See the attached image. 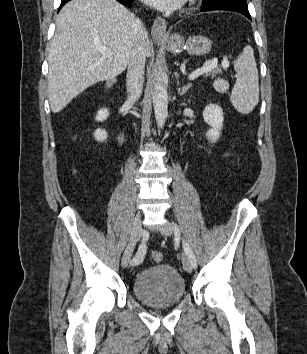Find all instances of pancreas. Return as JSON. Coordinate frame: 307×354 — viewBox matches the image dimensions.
<instances>
[{
    "instance_id": "cf45deb5",
    "label": "pancreas",
    "mask_w": 307,
    "mask_h": 354,
    "mask_svg": "<svg viewBox=\"0 0 307 354\" xmlns=\"http://www.w3.org/2000/svg\"><path fill=\"white\" fill-rule=\"evenodd\" d=\"M218 73H222V70H221V68H219V67H215V68L210 72L209 76L213 78V77H215V75L218 74Z\"/></svg>"
}]
</instances>
